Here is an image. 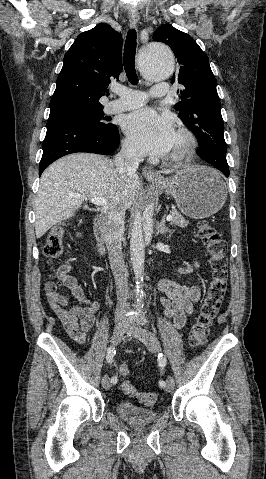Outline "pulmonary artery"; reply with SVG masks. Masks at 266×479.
<instances>
[{
  "mask_svg": "<svg viewBox=\"0 0 266 479\" xmlns=\"http://www.w3.org/2000/svg\"><path fill=\"white\" fill-rule=\"evenodd\" d=\"M168 84L162 82L158 83L152 87L150 93L154 98L165 97L168 93ZM114 92L119 96L118 99L110 101L106 110L109 113H115L120 111H126L133 108L142 106L145 103V94L140 90H135L131 88H122L120 90H114Z\"/></svg>",
  "mask_w": 266,
  "mask_h": 479,
  "instance_id": "e3ab8cb5",
  "label": "pulmonary artery"
}]
</instances>
